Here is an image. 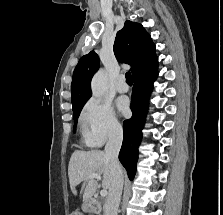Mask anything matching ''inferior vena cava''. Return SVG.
Listing matches in <instances>:
<instances>
[{
	"instance_id": "inferior-vena-cava-1",
	"label": "inferior vena cava",
	"mask_w": 223,
	"mask_h": 215,
	"mask_svg": "<svg viewBox=\"0 0 223 215\" xmlns=\"http://www.w3.org/2000/svg\"><path fill=\"white\" fill-rule=\"evenodd\" d=\"M123 139L122 127H112L109 131V139L105 145V155L109 157V169L112 175L106 203L104 205L105 215H117L120 197L123 187V173L120 167L118 153Z\"/></svg>"
}]
</instances>
